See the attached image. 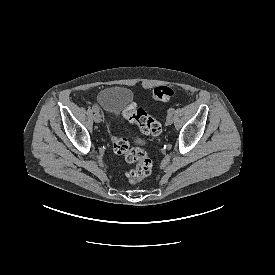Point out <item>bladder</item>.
Masks as SVG:
<instances>
[{"label": "bladder", "mask_w": 275, "mask_h": 275, "mask_svg": "<svg viewBox=\"0 0 275 275\" xmlns=\"http://www.w3.org/2000/svg\"><path fill=\"white\" fill-rule=\"evenodd\" d=\"M132 92L123 86H110L102 90L97 96L99 108L107 112L111 117L118 119L122 110L128 105ZM136 144H144L141 139H133Z\"/></svg>", "instance_id": "1"}]
</instances>
